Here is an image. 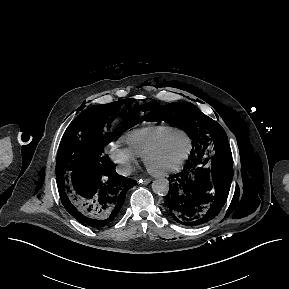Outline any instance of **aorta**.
<instances>
[{"mask_svg": "<svg viewBox=\"0 0 289 289\" xmlns=\"http://www.w3.org/2000/svg\"><path fill=\"white\" fill-rule=\"evenodd\" d=\"M152 190L155 194L166 196L169 192V182L167 179H157L152 183Z\"/></svg>", "mask_w": 289, "mask_h": 289, "instance_id": "762f6f07", "label": "aorta"}]
</instances>
